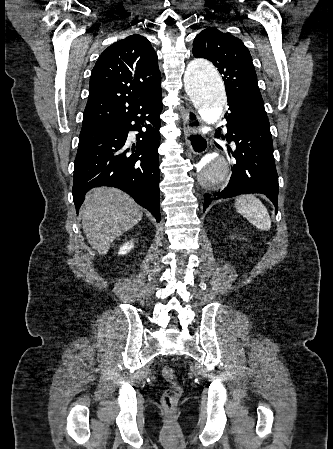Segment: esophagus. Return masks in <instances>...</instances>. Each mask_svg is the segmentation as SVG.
<instances>
[{
  "label": "esophagus",
  "mask_w": 333,
  "mask_h": 449,
  "mask_svg": "<svg viewBox=\"0 0 333 449\" xmlns=\"http://www.w3.org/2000/svg\"><path fill=\"white\" fill-rule=\"evenodd\" d=\"M183 125L187 146L195 154L204 153L206 151L207 139L200 133L202 121L193 109L187 108Z\"/></svg>",
  "instance_id": "1"
}]
</instances>
